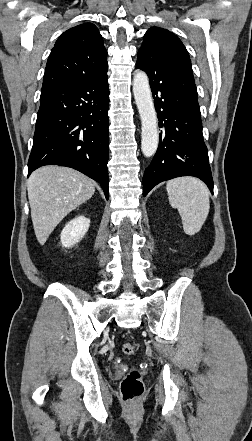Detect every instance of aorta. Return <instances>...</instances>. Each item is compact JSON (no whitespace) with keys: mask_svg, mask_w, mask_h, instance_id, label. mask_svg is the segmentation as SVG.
<instances>
[{"mask_svg":"<svg viewBox=\"0 0 252 441\" xmlns=\"http://www.w3.org/2000/svg\"><path fill=\"white\" fill-rule=\"evenodd\" d=\"M133 93L141 119V149L145 157L155 154L158 147L157 115L145 72L139 70L133 79Z\"/></svg>","mask_w":252,"mask_h":441,"instance_id":"obj_1","label":"aorta"}]
</instances>
